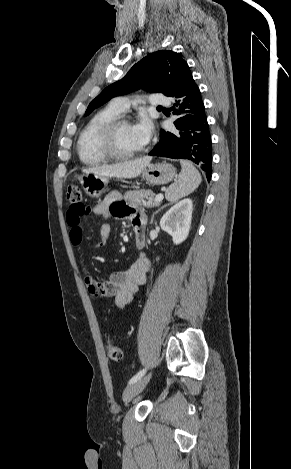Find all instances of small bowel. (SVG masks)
Masks as SVG:
<instances>
[{"mask_svg":"<svg viewBox=\"0 0 291 469\" xmlns=\"http://www.w3.org/2000/svg\"><path fill=\"white\" fill-rule=\"evenodd\" d=\"M95 215L105 219H130L132 226L145 230L146 217L138 210L127 206L118 192H111L105 199L93 208ZM83 215L74 208L67 211V224L70 228L69 236L73 245L82 243L83 230L81 220ZM111 226L104 223L100 229V241L97 247L104 246L109 240ZM150 262L145 255L137 258L126 270L116 271L110 275L106 282H98L91 275L86 274L84 281L89 292L98 298H113L119 309H124L133 299L138 288L145 284ZM86 271V268H83Z\"/></svg>","mask_w":291,"mask_h":469,"instance_id":"c3829d8e","label":"small bowel"}]
</instances>
